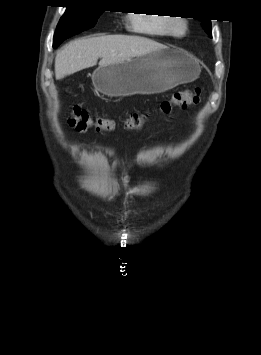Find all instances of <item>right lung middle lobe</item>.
<instances>
[{"label":"right lung middle lobe","mask_w":261,"mask_h":355,"mask_svg":"<svg viewBox=\"0 0 261 355\" xmlns=\"http://www.w3.org/2000/svg\"><path fill=\"white\" fill-rule=\"evenodd\" d=\"M102 13L103 10L76 4L67 7L65 14L58 23L53 42L64 40L92 28Z\"/></svg>","instance_id":"1"}]
</instances>
